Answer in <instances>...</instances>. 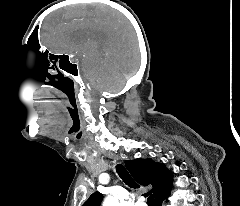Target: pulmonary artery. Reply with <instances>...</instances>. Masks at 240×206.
<instances>
[{
    "label": "pulmonary artery",
    "instance_id": "obj_1",
    "mask_svg": "<svg viewBox=\"0 0 240 206\" xmlns=\"http://www.w3.org/2000/svg\"><path fill=\"white\" fill-rule=\"evenodd\" d=\"M135 206H146L144 203H142V202H137L136 204H135Z\"/></svg>",
    "mask_w": 240,
    "mask_h": 206
}]
</instances>
